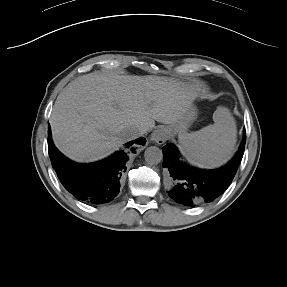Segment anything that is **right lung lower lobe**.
Wrapping results in <instances>:
<instances>
[{
	"label": "right lung lower lobe",
	"instance_id": "98d812e1",
	"mask_svg": "<svg viewBox=\"0 0 287 287\" xmlns=\"http://www.w3.org/2000/svg\"><path fill=\"white\" fill-rule=\"evenodd\" d=\"M145 145L140 137L126 144ZM48 151L51 163L63 186L76 198L90 204L108 203L119 193L120 179L126 170L127 155L115 152L109 158L91 164H76L64 157L54 146L48 127Z\"/></svg>",
	"mask_w": 287,
	"mask_h": 287
}]
</instances>
